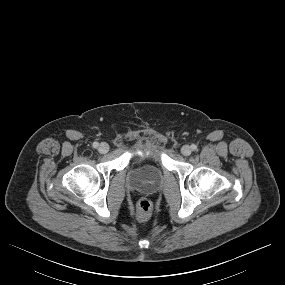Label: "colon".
I'll use <instances>...</instances> for the list:
<instances>
[{"mask_svg":"<svg viewBox=\"0 0 285 285\" xmlns=\"http://www.w3.org/2000/svg\"><path fill=\"white\" fill-rule=\"evenodd\" d=\"M152 211V204L146 198H141L137 203V214L141 219H146L150 216Z\"/></svg>","mask_w":285,"mask_h":285,"instance_id":"colon-1","label":"colon"}]
</instances>
